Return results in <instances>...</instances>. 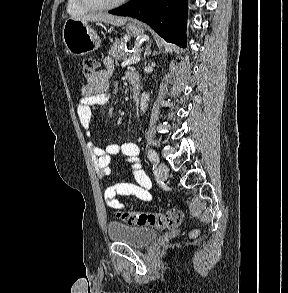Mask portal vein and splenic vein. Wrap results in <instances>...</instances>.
Returning a JSON list of instances; mask_svg holds the SVG:
<instances>
[{
    "mask_svg": "<svg viewBox=\"0 0 288 293\" xmlns=\"http://www.w3.org/2000/svg\"><path fill=\"white\" fill-rule=\"evenodd\" d=\"M140 61V57L138 55H132L130 58L126 59L122 62V66L136 64Z\"/></svg>",
    "mask_w": 288,
    "mask_h": 293,
    "instance_id": "1",
    "label": "portal vein and splenic vein"
}]
</instances>
